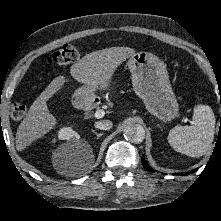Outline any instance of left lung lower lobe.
Returning a JSON list of instances; mask_svg holds the SVG:
<instances>
[{"mask_svg":"<svg viewBox=\"0 0 221 221\" xmlns=\"http://www.w3.org/2000/svg\"><path fill=\"white\" fill-rule=\"evenodd\" d=\"M142 164L147 170L154 172V170L152 168H150L149 165L147 164V162L145 161L144 155L142 156ZM194 171L195 170H193L192 172H194ZM187 174H189V173H187Z\"/></svg>","mask_w":221,"mask_h":221,"instance_id":"obj_1","label":"left lung lower lobe"}]
</instances>
